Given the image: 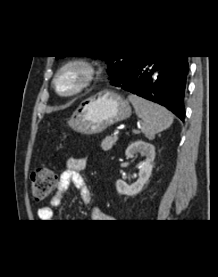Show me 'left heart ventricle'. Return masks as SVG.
<instances>
[{"instance_id": "obj_1", "label": "left heart ventricle", "mask_w": 218, "mask_h": 277, "mask_svg": "<svg viewBox=\"0 0 218 277\" xmlns=\"http://www.w3.org/2000/svg\"><path fill=\"white\" fill-rule=\"evenodd\" d=\"M77 82V74L74 72L66 73L60 80H59V87L61 90H69Z\"/></svg>"}]
</instances>
